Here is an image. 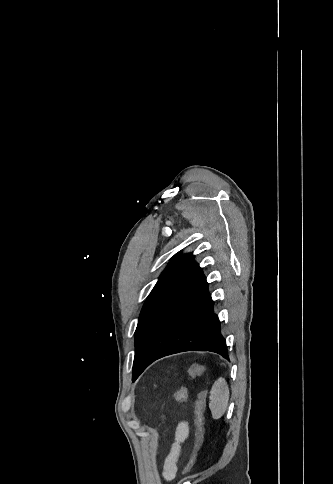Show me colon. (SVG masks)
Returning <instances> with one entry per match:
<instances>
[{
	"label": "colon",
	"mask_w": 333,
	"mask_h": 484,
	"mask_svg": "<svg viewBox=\"0 0 333 484\" xmlns=\"http://www.w3.org/2000/svg\"><path fill=\"white\" fill-rule=\"evenodd\" d=\"M204 369H205V366L202 363L193 364L188 371V378L189 379L196 378L197 376L203 373ZM174 396L177 403L182 404L186 402L188 398V390L186 386H182L181 388H179L176 391ZM206 396H207L206 390L200 392L195 402V406H194L195 439H194V445H193L190 457L183 469V474L189 472L193 467L196 461L198 451L202 444L203 433H204V410H205Z\"/></svg>",
	"instance_id": "1"
}]
</instances>
